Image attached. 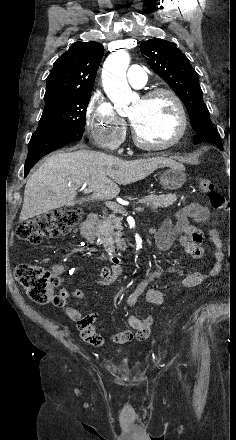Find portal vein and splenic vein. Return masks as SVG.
I'll return each mask as SVG.
<instances>
[{"label":"portal vein and splenic vein","mask_w":236,"mask_h":440,"mask_svg":"<svg viewBox=\"0 0 236 440\" xmlns=\"http://www.w3.org/2000/svg\"><path fill=\"white\" fill-rule=\"evenodd\" d=\"M92 192L91 189H86L85 193H90ZM105 205L110 208L111 210L115 211V212H119V213H124L125 210L123 207H121L120 205H118L117 203L113 202V201H106ZM136 211L142 212L144 211V208L142 207H137L135 208Z\"/></svg>","instance_id":"18ae733b"}]
</instances>
